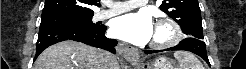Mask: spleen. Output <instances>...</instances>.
<instances>
[{
    "mask_svg": "<svg viewBox=\"0 0 246 69\" xmlns=\"http://www.w3.org/2000/svg\"><path fill=\"white\" fill-rule=\"evenodd\" d=\"M174 57L177 59L180 69H204L202 63L190 52L177 51L174 53Z\"/></svg>",
    "mask_w": 246,
    "mask_h": 69,
    "instance_id": "1",
    "label": "spleen"
}]
</instances>
